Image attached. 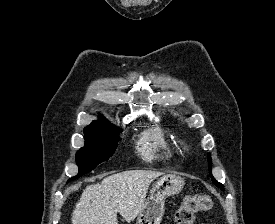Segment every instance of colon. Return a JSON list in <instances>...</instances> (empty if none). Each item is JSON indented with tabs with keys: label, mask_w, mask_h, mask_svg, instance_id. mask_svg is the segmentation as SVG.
Masks as SVG:
<instances>
[{
	"label": "colon",
	"mask_w": 275,
	"mask_h": 224,
	"mask_svg": "<svg viewBox=\"0 0 275 224\" xmlns=\"http://www.w3.org/2000/svg\"><path fill=\"white\" fill-rule=\"evenodd\" d=\"M212 202L209 196L205 194L186 195L182 205L174 214L175 224H193L196 216L208 211L211 208Z\"/></svg>",
	"instance_id": "1"
}]
</instances>
